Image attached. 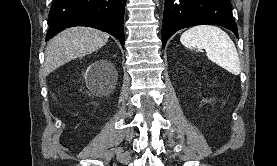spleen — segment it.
I'll list each match as a JSON object with an SVG mask.
<instances>
[{
	"instance_id": "spleen-1",
	"label": "spleen",
	"mask_w": 277,
	"mask_h": 166,
	"mask_svg": "<svg viewBox=\"0 0 277 166\" xmlns=\"http://www.w3.org/2000/svg\"><path fill=\"white\" fill-rule=\"evenodd\" d=\"M188 49H205L207 57L212 62L228 72L238 75L240 61L233 41L227 33L213 25H199L186 30L180 38Z\"/></svg>"
}]
</instances>
